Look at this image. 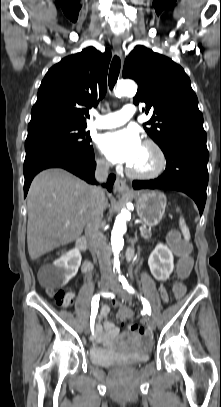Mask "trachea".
Here are the masks:
<instances>
[{"mask_svg":"<svg viewBox=\"0 0 221 407\" xmlns=\"http://www.w3.org/2000/svg\"><path fill=\"white\" fill-rule=\"evenodd\" d=\"M121 61L118 56H114L109 70L108 82L110 90H113L120 73Z\"/></svg>","mask_w":221,"mask_h":407,"instance_id":"obj_1","label":"trachea"}]
</instances>
